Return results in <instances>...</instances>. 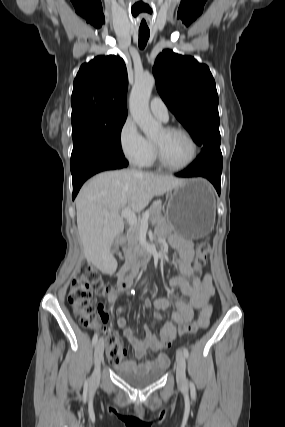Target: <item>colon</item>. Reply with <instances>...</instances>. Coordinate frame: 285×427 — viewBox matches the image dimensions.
<instances>
[{
  "label": "colon",
  "instance_id": "colon-1",
  "mask_svg": "<svg viewBox=\"0 0 285 427\" xmlns=\"http://www.w3.org/2000/svg\"><path fill=\"white\" fill-rule=\"evenodd\" d=\"M210 245L202 242L197 246V259L193 267L194 275H201V268L210 255ZM114 287L106 284L98 271L87 261H82L71 283L68 300L75 310L82 327L93 329L98 327L105 334L107 357L110 360H118L121 343L119 338L109 329L101 327L97 321L96 307L93 303L96 297L109 294ZM199 321L183 325L180 334L194 333L198 330ZM170 343L167 342V346Z\"/></svg>",
  "mask_w": 285,
  "mask_h": 427
}]
</instances>
